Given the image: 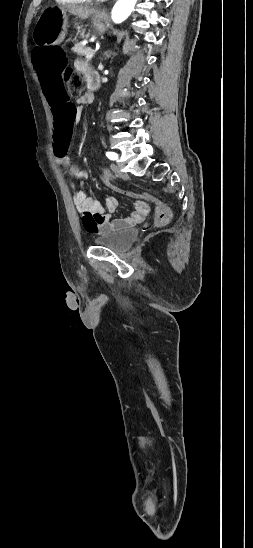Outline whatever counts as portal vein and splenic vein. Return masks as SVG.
Segmentation results:
<instances>
[{
    "label": "portal vein and splenic vein",
    "mask_w": 253,
    "mask_h": 548,
    "mask_svg": "<svg viewBox=\"0 0 253 548\" xmlns=\"http://www.w3.org/2000/svg\"><path fill=\"white\" fill-rule=\"evenodd\" d=\"M94 54H95V51H90L85 57H86L87 60H90V59H92Z\"/></svg>",
    "instance_id": "1"
}]
</instances>
